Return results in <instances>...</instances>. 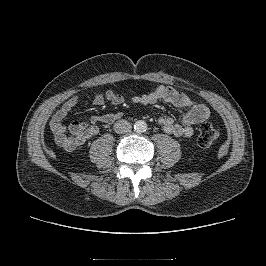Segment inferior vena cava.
<instances>
[{"mask_svg":"<svg viewBox=\"0 0 266 266\" xmlns=\"http://www.w3.org/2000/svg\"><path fill=\"white\" fill-rule=\"evenodd\" d=\"M131 130V124L127 120H118L114 124V131L118 134L127 133Z\"/></svg>","mask_w":266,"mask_h":266,"instance_id":"1","label":"inferior vena cava"}]
</instances>
